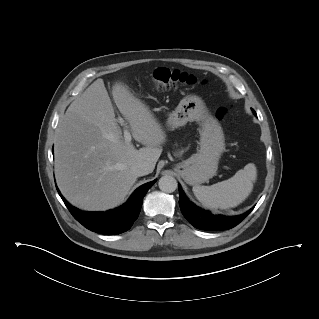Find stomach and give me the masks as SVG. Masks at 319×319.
I'll return each instance as SVG.
<instances>
[{"label":"stomach","mask_w":319,"mask_h":319,"mask_svg":"<svg viewBox=\"0 0 319 319\" xmlns=\"http://www.w3.org/2000/svg\"><path fill=\"white\" fill-rule=\"evenodd\" d=\"M193 121L200 124L198 152L178 163L175 170L187 184L199 185L216 175L225 138L220 123L209 113L201 97L190 94L169 115L167 125L174 130Z\"/></svg>","instance_id":"stomach-1"}]
</instances>
